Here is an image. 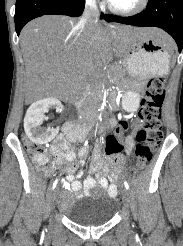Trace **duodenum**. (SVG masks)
Returning a JSON list of instances; mask_svg holds the SVG:
<instances>
[{
    "label": "duodenum",
    "instance_id": "duodenum-1",
    "mask_svg": "<svg viewBox=\"0 0 183 246\" xmlns=\"http://www.w3.org/2000/svg\"><path fill=\"white\" fill-rule=\"evenodd\" d=\"M64 134L72 140L75 141H86L87 137L85 136L84 133H80V129L74 122H68L64 126ZM94 151H101V146L99 143H94L93 144Z\"/></svg>",
    "mask_w": 183,
    "mask_h": 246
}]
</instances>
